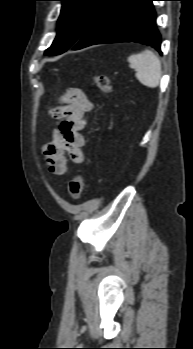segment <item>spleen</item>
Masks as SVG:
<instances>
[{"label":"spleen","mask_w":193,"mask_h":349,"mask_svg":"<svg viewBox=\"0 0 193 349\" xmlns=\"http://www.w3.org/2000/svg\"><path fill=\"white\" fill-rule=\"evenodd\" d=\"M130 67L136 70V78L143 85L155 88L159 85L162 76L161 62L151 50H144L139 54L128 57Z\"/></svg>","instance_id":"spleen-1"}]
</instances>
